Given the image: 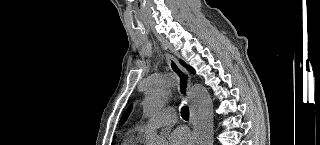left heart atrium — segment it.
I'll return each mask as SVG.
<instances>
[{
    "instance_id": "39dd6f15",
    "label": "left heart atrium",
    "mask_w": 320,
    "mask_h": 145,
    "mask_svg": "<svg viewBox=\"0 0 320 145\" xmlns=\"http://www.w3.org/2000/svg\"><path fill=\"white\" fill-rule=\"evenodd\" d=\"M169 145H190L191 136L182 128L176 129L168 139Z\"/></svg>"
}]
</instances>
